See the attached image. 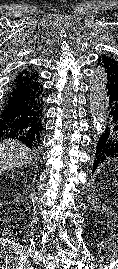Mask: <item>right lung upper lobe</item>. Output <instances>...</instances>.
I'll return each instance as SVG.
<instances>
[{"label":"right lung upper lobe","instance_id":"cb5924a9","mask_svg":"<svg viewBox=\"0 0 118 269\" xmlns=\"http://www.w3.org/2000/svg\"><path fill=\"white\" fill-rule=\"evenodd\" d=\"M12 85H38L41 87L40 82L38 81V76L35 72H29L27 70H23L21 73L18 74L16 79L12 82ZM43 91H41L38 96L36 97V113H37V120L39 124L42 125V117H43Z\"/></svg>","mask_w":118,"mask_h":269}]
</instances>
